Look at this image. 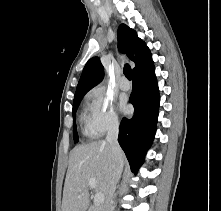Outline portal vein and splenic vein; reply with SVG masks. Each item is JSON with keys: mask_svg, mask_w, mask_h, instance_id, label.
Returning <instances> with one entry per match:
<instances>
[{"mask_svg": "<svg viewBox=\"0 0 221 211\" xmlns=\"http://www.w3.org/2000/svg\"><path fill=\"white\" fill-rule=\"evenodd\" d=\"M88 184L91 188H95L96 187V180L94 178H90L88 180ZM105 197L102 193H97L94 196V204L95 206H100L101 204L104 203Z\"/></svg>", "mask_w": 221, "mask_h": 211, "instance_id": "18ae733b", "label": "portal vein and splenic vein"}]
</instances>
